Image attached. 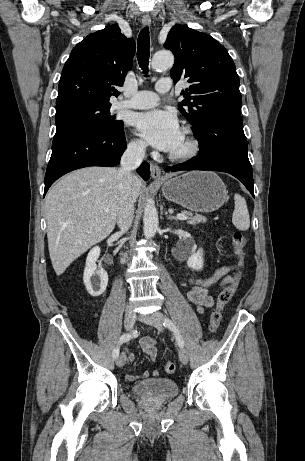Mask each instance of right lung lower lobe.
Wrapping results in <instances>:
<instances>
[{
    "instance_id": "right-lung-lower-lobe-1",
    "label": "right lung lower lobe",
    "mask_w": 305,
    "mask_h": 461,
    "mask_svg": "<svg viewBox=\"0 0 305 461\" xmlns=\"http://www.w3.org/2000/svg\"><path fill=\"white\" fill-rule=\"evenodd\" d=\"M126 147L123 126L104 131L73 123L58 125L45 174L44 196L58 178L70 171L87 166L117 165ZM137 172L147 181L149 164L143 162Z\"/></svg>"
}]
</instances>
